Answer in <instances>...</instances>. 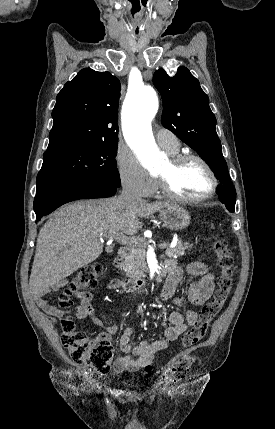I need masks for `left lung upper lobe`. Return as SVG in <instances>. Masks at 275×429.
Returning a JSON list of instances; mask_svg holds the SVG:
<instances>
[{
    "label": "left lung upper lobe",
    "mask_w": 275,
    "mask_h": 429,
    "mask_svg": "<svg viewBox=\"0 0 275 429\" xmlns=\"http://www.w3.org/2000/svg\"><path fill=\"white\" fill-rule=\"evenodd\" d=\"M153 83L164 103L161 117L163 126L196 150L209 164L221 182L220 186L226 190V197L220 201L234 212L236 190L228 175L227 163L216 133V118L199 81L182 66L174 76L158 69L153 75Z\"/></svg>",
    "instance_id": "5c2ea615"
}]
</instances>
